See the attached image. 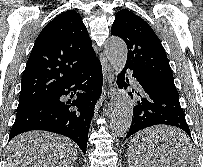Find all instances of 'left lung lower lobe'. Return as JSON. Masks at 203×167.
<instances>
[{
	"mask_svg": "<svg viewBox=\"0 0 203 167\" xmlns=\"http://www.w3.org/2000/svg\"><path fill=\"white\" fill-rule=\"evenodd\" d=\"M132 71V76L139 83V89L137 91L132 90L136 100L132 123L125 140L139 130L158 124L179 127L191 138L190 129L186 123L184 111L180 106L179 94L176 88L161 85L148 79L139 71ZM132 93L131 96L133 97ZM187 143L190 145L189 139ZM187 143L181 142L178 143V146L186 150L189 147Z\"/></svg>",
	"mask_w": 203,
	"mask_h": 167,
	"instance_id": "1",
	"label": "left lung lower lobe"
}]
</instances>
